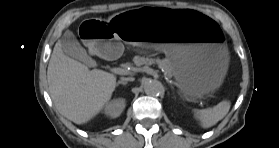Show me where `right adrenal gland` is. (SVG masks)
I'll return each mask as SVG.
<instances>
[{
	"instance_id": "right-adrenal-gland-1",
	"label": "right adrenal gland",
	"mask_w": 279,
	"mask_h": 148,
	"mask_svg": "<svg viewBox=\"0 0 279 148\" xmlns=\"http://www.w3.org/2000/svg\"><path fill=\"white\" fill-rule=\"evenodd\" d=\"M120 84H122V85H126V84H127V82H125V81H118V82H117V84H116V86H118V85H120Z\"/></svg>"
}]
</instances>
